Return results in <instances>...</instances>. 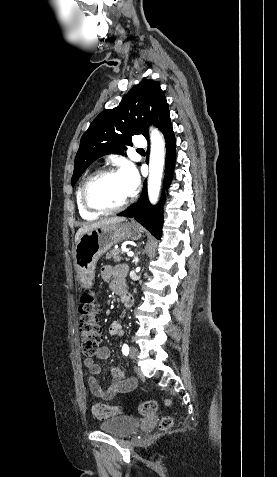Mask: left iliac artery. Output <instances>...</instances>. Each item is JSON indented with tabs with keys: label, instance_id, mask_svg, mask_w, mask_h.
I'll list each match as a JSON object with an SVG mask.
<instances>
[{
	"label": "left iliac artery",
	"instance_id": "left-iliac-artery-1",
	"mask_svg": "<svg viewBox=\"0 0 277 477\" xmlns=\"http://www.w3.org/2000/svg\"><path fill=\"white\" fill-rule=\"evenodd\" d=\"M122 352L125 356H127L129 354V346L127 344L123 345Z\"/></svg>",
	"mask_w": 277,
	"mask_h": 477
}]
</instances>
